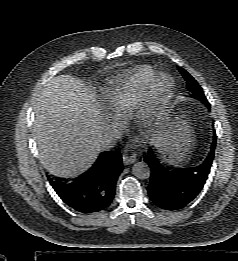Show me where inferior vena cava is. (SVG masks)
<instances>
[{
    "mask_svg": "<svg viewBox=\"0 0 238 261\" xmlns=\"http://www.w3.org/2000/svg\"><path fill=\"white\" fill-rule=\"evenodd\" d=\"M119 138H121V132L115 126L106 127L102 141L103 150H108L113 142Z\"/></svg>",
    "mask_w": 238,
    "mask_h": 261,
    "instance_id": "602c4592",
    "label": "inferior vena cava"
}]
</instances>
